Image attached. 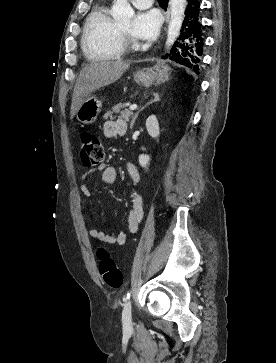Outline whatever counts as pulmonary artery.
I'll list each match as a JSON object with an SVG mask.
<instances>
[{"label":"pulmonary artery","instance_id":"e3ab8cb5","mask_svg":"<svg viewBox=\"0 0 276 363\" xmlns=\"http://www.w3.org/2000/svg\"><path fill=\"white\" fill-rule=\"evenodd\" d=\"M131 2L138 9H147L152 5L153 0H131Z\"/></svg>","mask_w":276,"mask_h":363}]
</instances>
